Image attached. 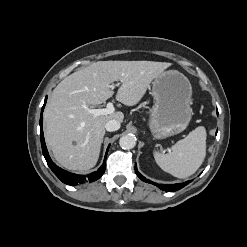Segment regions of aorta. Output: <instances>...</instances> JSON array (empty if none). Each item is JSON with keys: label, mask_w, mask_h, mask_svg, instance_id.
<instances>
[{"label": "aorta", "mask_w": 247, "mask_h": 247, "mask_svg": "<svg viewBox=\"0 0 247 247\" xmlns=\"http://www.w3.org/2000/svg\"><path fill=\"white\" fill-rule=\"evenodd\" d=\"M120 147L125 150H130L136 145V137L132 134L124 135L119 140Z\"/></svg>", "instance_id": "1"}]
</instances>
